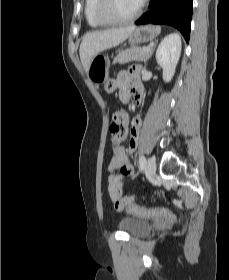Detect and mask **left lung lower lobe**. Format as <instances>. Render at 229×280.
<instances>
[{
	"label": "left lung lower lobe",
	"instance_id": "0a47b994",
	"mask_svg": "<svg viewBox=\"0 0 229 280\" xmlns=\"http://www.w3.org/2000/svg\"><path fill=\"white\" fill-rule=\"evenodd\" d=\"M193 0H151L149 10L135 23L166 24L180 30L189 41Z\"/></svg>",
	"mask_w": 229,
	"mask_h": 280
}]
</instances>
